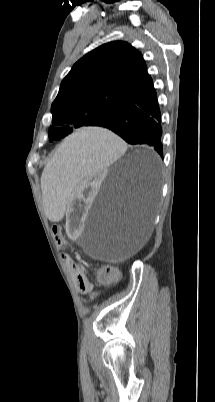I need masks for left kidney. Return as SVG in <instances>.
<instances>
[{
    "instance_id": "5707ae66",
    "label": "left kidney",
    "mask_w": 215,
    "mask_h": 402,
    "mask_svg": "<svg viewBox=\"0 0 215 402\" xmlns=\"http://www.w3.org/2000/svg\"><path fill=\"white\" fill-rule=\"evenodd\" d=\"M106 172L103 169L97 170L94 175H88L83 179V184L77 185V191H72L70 203L67 208L68 221L66 223V233L70 240H77L82 237L78 234L82 229V218L84 212L90 208L95 198V193L101 191L102 178Z\"/></svg>"
}]
</instances>
